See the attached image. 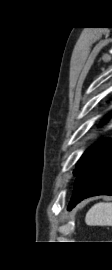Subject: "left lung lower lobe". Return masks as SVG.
I'll return each mask as SVG.
<instances>
[{"label": "left lung lower lobe", "instance_id": "0a47b994", "mask_svg": "<svg viewBox=\"0 0 112 270\" xmlns=\"http://www.w3.org/2000/svg\"><path fill=\"white\" fill-rule=\"evenodd\" d=\"M102 194L112 195V149L76 178L68 210L87 197Z\"/></svg>", "mask_w": 112, "mask_h": 270}]
</instances>
